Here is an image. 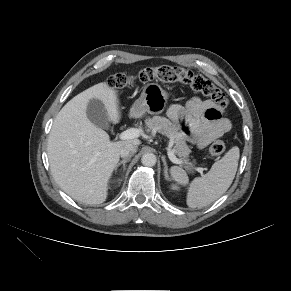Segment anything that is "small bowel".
Masks as SVG:
<instances>
[{"mask_svg": "<svg viewBox=\"0 0 291 291\" xmlns=\"http://www.w3.org/2000/svg\"><path fill=\"white\" fill-rule=\"evenodd\" d=\"M168 114L181 125L188 139L201 149L231 128L230 121L222 116L218 105L199 97L191 98L186 106L172 105Z\"/></svg>", "mask_w": 291, "mask_h": 291, "instance_id": "c3829d8e", "label": "small bowel"}]
</instances>
